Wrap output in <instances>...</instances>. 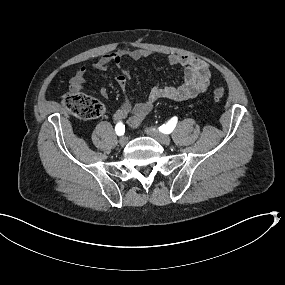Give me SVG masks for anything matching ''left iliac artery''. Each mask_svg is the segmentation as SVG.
Segmentation results:
<instances>
[{"label": "left iliac artery", "mask_w": 285, "mask_h": 285, "mask_svg": "<svg viewBox=\"0 0 285 285\" xmlns=\"http://www.w3.org/2000/svg\"><path fill=\"white\" fill-rule=\"evenodd\" d=\"M176 123H177V117H173L168 123L163 124L161 127H159V131L169 134L175 128Z\"/></svg>", "instance_id": "1"}]
</instances>
